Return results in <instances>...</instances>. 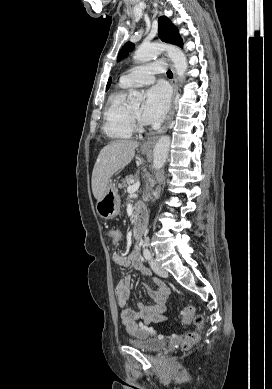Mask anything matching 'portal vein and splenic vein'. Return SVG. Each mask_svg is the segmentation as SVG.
Returning <instances> with one entry per match:
<instances>
[{
    "instance_id": "1",
    "label": "portal vein and splenic vein",
    "mask_w": 272,
    "mask_h": 389,
    "mask_svg": "<svg viewBox=\"0 0 272 389\" xmlns=\"http://www.w3.org/2000/svg\"><path fill=\"white\" fill-rule=\"evenodd\" d=\"M139 186H140V182L138 180L135 184L127 188V192L130 194L135 193L139 189Z\"/></svg>"
}]
</instances>
